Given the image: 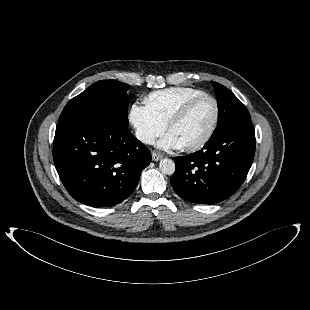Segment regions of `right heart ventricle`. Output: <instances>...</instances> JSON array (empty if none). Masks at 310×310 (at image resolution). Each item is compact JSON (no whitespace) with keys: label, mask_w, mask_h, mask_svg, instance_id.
Returning a JSON list of instances; mask_svg holds the SVG:
<instances>
[{"label":"right heart ventricle","mask_w":310,"mask_h":310,"mask_svg":"<svg viewBox=\"0 0 310 310\" xmlns=\"http://www.w3.org/2000/svg\"><path fill=\"white\" fill-rule=\"evenodd\" d=\"M205 94L202 90L190 87H172L151 92L145 103L151 113L166 124L179 108L191 98Z\"/></svg>","instance_id":"right-heart-ventricle-1"}]
</instances>
